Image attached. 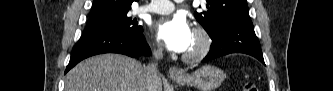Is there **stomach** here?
<instances>
[{"label":"stomach","mask_w":333,"mask_h":91,"mask_svg":"<svg viewBox=\"0 0 333 91\" xmlns=\"http://www.w3.org/2000/svg\"><path fill=\"white\" fill-rule=\"evenodd\" d=\"M224 79V72L210 65L203 66L192 74H186L181 78H173L179 85L194 86L200 91H214Z\"/></svg>","instance_id":"stomach-1"}]
</instances>
